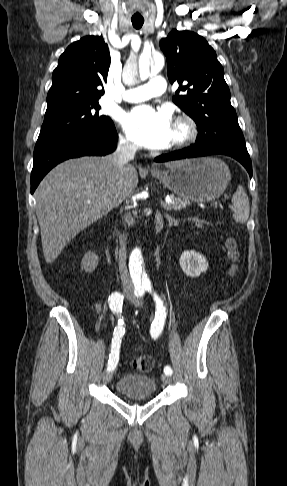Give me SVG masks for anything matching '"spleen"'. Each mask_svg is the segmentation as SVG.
<instances>
[{"instance_id":"1","label":"spleen","mask_w":287,"mask_h":486,"mask_svg":"<svg viewBox=\"0 0 287 486\" xmlns=\"http://www.w3.org/2000/svg\"><path fill=\"white\" fill-rule=\"evenodd\" d=\"M231 201L233 206L235 207L233 219L238 223L245 224L249 218L250 205L248 196L241 185L237 187V190L233 194Z\"/></svg>"}]
</instances>
